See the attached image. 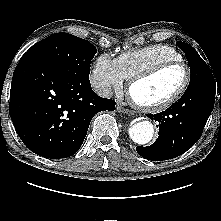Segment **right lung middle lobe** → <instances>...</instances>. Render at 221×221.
<instances>
[{
  "instance_id": "obj_1",
  "label": "right lung middle lobe",
  "mask_w": 221,
  "mask_h": 221,
  "mask_svg": "<svg viewBox=\"0 0 221 221\" xmlns=\"http://www.w3.org/2000/svg\"><path fill=\"white\" fill-rule=\"evenodd\" d=\"M96 53V47L87 40L68 33H55L37 42L25 54L39 56L89 78L91 60Z\"/></svg>"
}]
</instances>
